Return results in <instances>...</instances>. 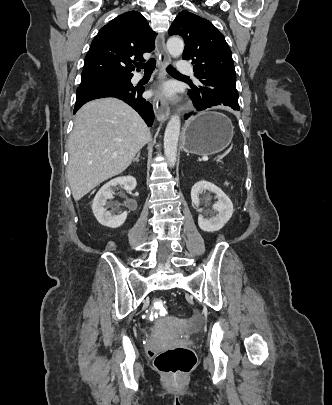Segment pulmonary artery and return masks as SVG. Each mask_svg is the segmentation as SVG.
Here are the masks:
<instances>
[{
    "label": "pulmonary artery",
    "mask_w": 332,
    "mask_h": 405,
    "mask_svg": "<svg viewBox=\"0 0 332 405\" xmlns=\"http://www.w3.org/2000/svg\"><path fill=\"white\" fill-rule=\"evenodd\" d=\"M178 71L180 72L181 75L185 76V75H192L193 74V70L192 67L184 60H180L178 63ZM141 79V76H135L133 78L134 81H138Z\"/></svg>",
    "instance_id": "1"
}]
</instances>
